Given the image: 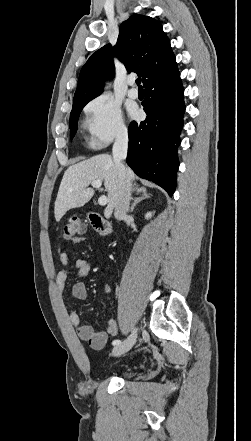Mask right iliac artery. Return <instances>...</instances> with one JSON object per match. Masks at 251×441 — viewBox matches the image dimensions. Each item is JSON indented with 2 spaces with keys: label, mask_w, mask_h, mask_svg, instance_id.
Returning a JSON list of instances; mask_svg holds the SVG:
<instances>
[{
  "label": "right iliac artery",
  "mask_w": 251,
  "mask_h": 441,
  "mask_svg": "<svg viewBox=\"0 0 251 441\" xmlns=\"http://www.w3.org/2000/svg\"><path fill=\"white\" fill-rule=\"evenodd\" d=\"M120 344H122V341H121V340H114V341L112 342V345H114V346H117V345H120Z\"/></svg>",
  "instance_id": "1"
}]
</instances>
